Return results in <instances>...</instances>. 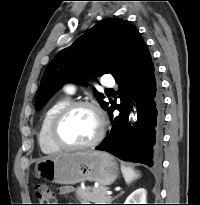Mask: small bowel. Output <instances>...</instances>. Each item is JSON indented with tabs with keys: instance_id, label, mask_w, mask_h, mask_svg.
<instances>
[{
	"instance_id": "obj_1",
	"label": "small bowel",
	"mask_w": 200,
	"mask_h": 205,
	"mask_svg": "<svg viewBox=\"0 0 200 205\" xmlns=\"http://www.w3.org/2000/svg\"><path fill=\"white\" fill-rule=\"evenodd\" d=\"M59 192H60V194H63V195L69 194L72 192V188L69 186H62V187H60Z\"/></svg>"
}]
</instances>
